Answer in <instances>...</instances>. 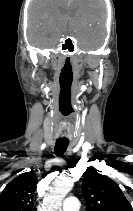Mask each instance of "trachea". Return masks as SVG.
Segmentation results:
<instances>
[{
  "mask_svg": "<svg viewBox=\"0 0 133 211\" xmlns=\"http://www.w3.org/2000/svg\"><path fill=\"white\" fill-rule=\"evenodd\" d=\"M69 142L68 141H60L57 140L55 147H54V153L56 156H61L66 152V149L68 147Z\"/></svg>",
  "mask_w": 133,
  "mask_h": 211,
  "instance_id": "trachea-1",
  "label": "trachea"
}]
</instances>
